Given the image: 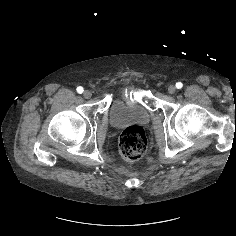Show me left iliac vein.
Listing matches in <instances>:
<instances>
[{"label":"left iliac vein","instance_id":"1","mask_svg":"<svg viewBox=\"0 0 236 236\" xmlns=\"http://www.w3.org/2000/svg\"><path fill=\"white\" fill-rule=\"evenodd\" d=\"M176 92V87L174 85H170L168 87V93L174 94Z\"/></svg>","mask_w":236,"mask_h":236}]
</instances>
